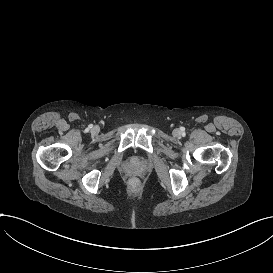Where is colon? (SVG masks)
Here are the masks:
<instances>
[{
    "label": "colon",
    "instance_id": "obj_1",
    "mask_svg": "<svg viewBox=\"0 0 273 273\" xmlns=\"http://www.w3.org/2000/svg\"><path fill=\"white\" fill-rule=\"evenodd\" d=\"M142 185V181L140 178L133 176L127 182V188L129 191L137 193L140 191Z\"/></svg>",
    "mask_w": 273,
    "mask_h": 273
}]
</instances>
